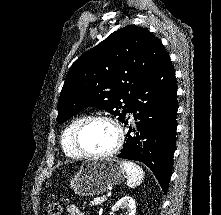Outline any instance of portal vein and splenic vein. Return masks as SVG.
<instances>
[{
    "instance_id": "portal-vein-and-splenic-vein-1",
    "label": "portal vein and splenic vein",
    "mask_w": 221,
    "mask_h": 215,
    "mask_svg": "<svg viewBox=\"0 0 221 215\" xmlns=\"http://www.w3.org/2000/svg\"><path fill=\"white\" fill-rule=\"evenodd\" d=\"M109 196H111L110 194H107L106 196H103L104 198H107V197H109Z\"/></svg>"
}]
</instances>
